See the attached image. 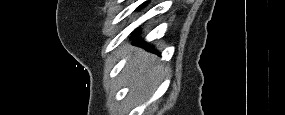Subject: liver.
<instances>
[{
  "label": "liver",
  "instance_id": "1",
  "mask_svg": "<svg viewBox=\"0 0 285 115\" xmlns=\"http://www.w3.org/2000/svg\"><path fill=\"white\" fill-rule=\"evenodd\" d=\"M129 51L130 48L124 47L119 55L125 56ZM123 72L131 86V93L136 96L148 97L159 84L164 67L156 62L155 56L140 49L126 64Z\"/></svg>",
  "mask_w": 285,
  "mask_h": 115
}]
</instances>
